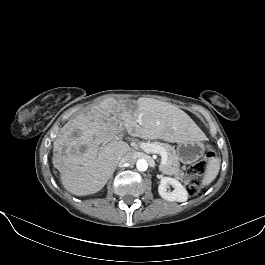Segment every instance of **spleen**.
Returning a JSON list of instances; mask_svg holds the SVG:
<instances>
[{
  "mask_svg": "<svg viewBox=\"0 0 265 265\" xmlns=\"http://www.w3.org/2000/svg\"><path fill=\"white\" fill-rule=\"evenodd\" d=\"M220 164L219 158L213 157L209 160L202 180L203 186L209 185L216 178L220 170Z\"/></svg>",
  "mask_w": 265,
  "mask_h": 265,
  "instance_id": "3e777b00",
  "label": "spleen"
}]
</instances>
